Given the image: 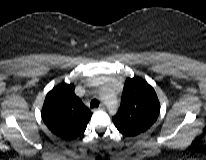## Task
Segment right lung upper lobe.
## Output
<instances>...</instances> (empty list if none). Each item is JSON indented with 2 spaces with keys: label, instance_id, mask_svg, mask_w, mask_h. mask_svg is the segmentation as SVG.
Segmentation results:
<instances>
[{
  "label": "right lung upper lobe",
  "instance_id": "right-lung-upper-lobe-1",
  "mask_svg": "<svg viewBox=\"0 0 206 160\" xmlns=\"http://www.w3.org/2000/svg\"><path fill=\"white\" fill-rule=\"evenodd\" d=\"M73 84L61 83L46 95L42 119L58 137L72 140L84 133L92 113L74 93Z\"/></svg>",
  "mask_w": 206,
  "mask_h": 160
}]
</instances>
